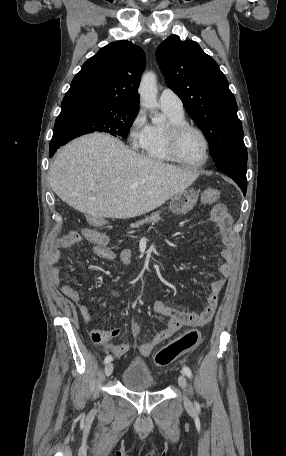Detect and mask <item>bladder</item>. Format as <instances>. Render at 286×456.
<instances>
[{
	"label": "bladder",
	"mask_w": 286,
	"mask_h": 456,
	"mask_svg": "<svg viewBox=\"0 0 286 456\" xmlns=\"http://www.w3.org/2000/svg\"><path fill=\"white\" fill-rule=\"evenodd\" d=\"M122 385L134 391L155 390V382L144 363L131 362L122 375Z\"/></svg>",
	"instance_id": "31cf9c89"
}]
</instances>
